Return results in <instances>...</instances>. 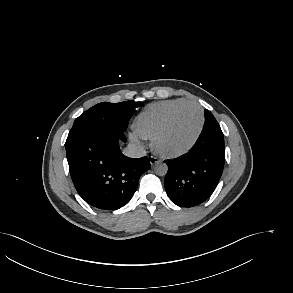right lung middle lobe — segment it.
Masks as SVG:
<instances>
[{
  "label": "right lung middle lobe",
  "instance_id": "obj_1",
  "mask_svg": "<svg viewBox=\"0 0 293 293\" xmlns=\"http://www.w3.org/2000/svg\"><path fill=\"white\" fill-rule=\"evenodd\" d=\"M140 105V102L125 101L115 104L103 102L91 107L75 120L65 147L102 130L125 132L135 108Z\"/></svg>",
  "mask_w": 293,
  "mask_h": 293
}]
</instances>
